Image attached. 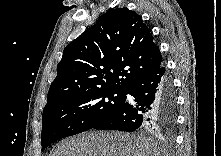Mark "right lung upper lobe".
<instances>
[{
    "label": "right lung upper lobe",
    "instance_id": "cb5924a9",
    "mask_svg": "<svg viewBox=\"0 0 221 156\" xmlns=\"http://www.w3.org/2000/svg\"><path fill=\"white\" fill-rule=\"evenodd\" d=\"M163 64L142 17L127 8L112 9L65 47L45 108L80 92L126 91Z\"/></svg>",
    "mask_w": 221,
    "mask_h": 156
}]
</instances>
